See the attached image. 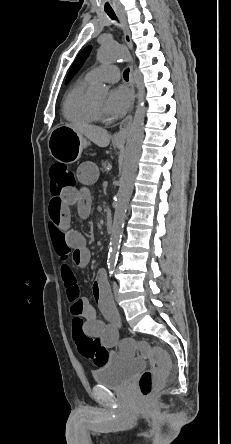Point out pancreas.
Here are the masks:
<instances>
[{
    "instance_id": "pancreas-1",
    "label": "pancreas",
    "mask_w": 231,
    "mask_h": 444,
    "mask_svg": "<svg viewBox=\"0 0 231 444\" xmlns=\"http://www.w3.org/2000/svg\"><path fill=\"white\" fill-rule=\"evenodd\" d=\"M111 166V162L106 160V161H101V170H107L109 167Z\"/></svg>"
}]
</instances>
